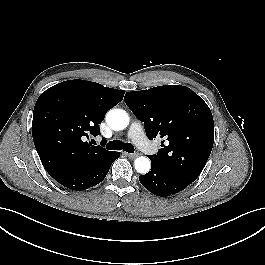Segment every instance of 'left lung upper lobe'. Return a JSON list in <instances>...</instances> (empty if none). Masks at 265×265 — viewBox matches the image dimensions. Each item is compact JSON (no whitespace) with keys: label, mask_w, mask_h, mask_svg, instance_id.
<instances>
[{"label":"left lung upper lobe","mask_w":265,"mask_h":265,"mask_svg":"<svg viewBox=\"0 0 265 265\" xmlns=\"http://www.w3.org/2000/svg\"><path fill=\"white\" fill-rule=\"evenodd\" d=\"M124 100L150 140L164 138L158 153L148 156L151 162L195 181L214 142L212 113L203 99L186 86L169 85L127 92Z\"/></svg>","instance_id":"5c2ea615"}]
</instances>
